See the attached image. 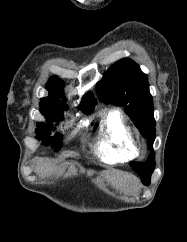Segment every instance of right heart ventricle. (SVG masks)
Segmentation results:
<instances>
[{
	"instance_id": "right-heart-ventricle-1",
	"label": "right heart ventricle",
	"mask_w": 187,
	"mask_h": 242,
	"mask_svg": "<svg viewBox=\"0 0 187 242\" xmlns=\"http://www.w3.org/2000/svg\"><path fill=\"white\" fill-rule=\"evenodd\" d=\"M96 152L106 163L126 162L138 155L135 136L120 111L112 109L102 115Z\"/></svg>"
}]
</instances>
